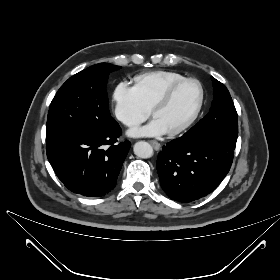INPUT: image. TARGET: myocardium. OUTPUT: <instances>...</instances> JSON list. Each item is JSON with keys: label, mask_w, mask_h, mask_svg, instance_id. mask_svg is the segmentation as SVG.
Segmentation results:
<instances>
[{"label": "myocardium", "mask_w": 280, "mask_h": 280, "mask_svg": "<svg viewBox=\"0 0 280 280\" xmlns=\"http://www.w3.org/2000/svg\"><path fill=\"white\" fill-rule=\"evenodd\" d=\"M186 83L197 84V86L199 88V98H198L197 104L195 106V109H194L193 113L191 114V116L188 118V120L186 122H184L181 126L175 128L173 130L165 132L169 136H176V135H179L182 132L186 131L198 118L199 113L203 106L204 95H205L202 83L196 78H184L179 81H176L166 88V90L162 93V95L156 100V102L151 107V115H152V117H154L155 112L158 109L165 106L169 102V100L171 99L175 90L178 87H180L181 85H184Z\"/></svg>", "instance_id": "obj_1"}]
</instances>
